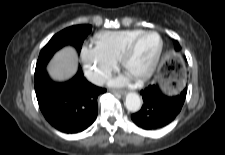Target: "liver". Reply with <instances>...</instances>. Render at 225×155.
<instances>
[{"label":"liver","mask_w":225,"mask_h":155,"mask_svg":"<svg viewBox=\"0 0 225 155\" xmlns=\"http://www.w3.org/2000/svg\"><path fill=\"white\" fill-rule=\"evenodd\" d=\"M78 68V56L73 47H65L58 51L48 65L50 77L56 81H65L75 75Z\"/></svg>","instance_id":"liver-1"}]
</instances>
